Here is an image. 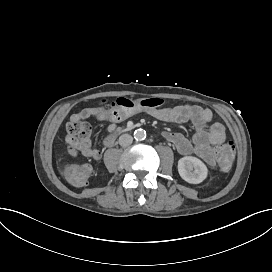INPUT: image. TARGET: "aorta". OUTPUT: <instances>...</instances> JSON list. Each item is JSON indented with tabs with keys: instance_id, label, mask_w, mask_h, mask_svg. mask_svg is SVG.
Returning a JSON list of instances; mask_svg holds the SVG:
<instances>
[{
	"instance_id": "obj_1",
	"label": "aorta",
	"mask_w": 272,
	"mask_h": 272,
	"mask_svg": "<svg viewBox=\"0 0 272 272\" xmlns=\"http://www.w3.org/2000/svg\"><path fill=\"white\" fill-rule=\"evenodd\" d=\"M134 138L138 141H142L146 138V131L144 129H137L134 131Z\"/></svg>"
}]
</instances>
